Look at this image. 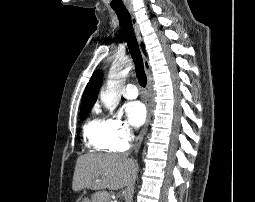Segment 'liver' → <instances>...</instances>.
<instances>
[{
  "label": "liver",
  "mask_w": 255,
  "mask_h": 202,
  "mask_svg": "<svg viewBox=\"0 0 255 202\" xmlns=\"http://www.w3.org/2000/svg\"><path fill=\"white\" fill-rule=\"evenodd\" d=\"M136 172L137 163L127 155L89 153L77 159L72 189H122L135 179Z\"/></svg>",
  "instance_id": "liver-1"
}]
</instances>
